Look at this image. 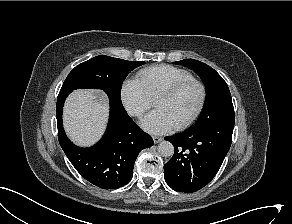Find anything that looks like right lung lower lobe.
<instances>
[{
	"mask_svg": "<svg viewBox=\"0 0 292 224\" xmlns=\"http://www.w3.org/2000/svg\"><path fill=\"white\" fill-rule=\"evenodd\" d=\"M71 92H59L57 97L58 139L63 151L79 174L95 186L116 189L126 185L139 152L153 145L151 136L134 123L122 104L110 101L109 122L102 139L90 148L74 145L62 125L64 101Z\"/></svg>",
	"mask_w": 292,
	"mask_h": 224,
	"instance_id": "1",
	"label": "right lung lower lobe"
}]
</instances>
